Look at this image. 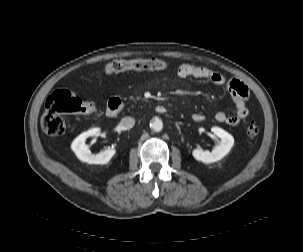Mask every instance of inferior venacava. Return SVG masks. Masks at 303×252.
<instances>
[{
	"label": "inferior vena cava",
	"mask_w": 303,
	"mask_h": 252,
	"mask_svg": "<svg viewBox=\"0 0 303 252\" xmlns=\"http://www.w3.org/2000/svg\"><path fill=\"white\" fill-rule=\"evenodd\" d=\"M120 123L125 129H130L135 125V120L134 118L127 116L122 118Z\"/></svg>",
	"instance_id": "1"
}]
</instances>
